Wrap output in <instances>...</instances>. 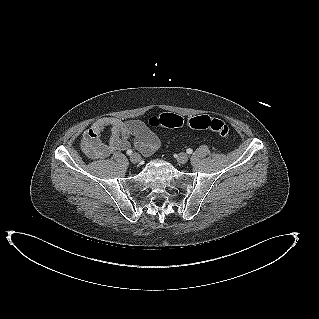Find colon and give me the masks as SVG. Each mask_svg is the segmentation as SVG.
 <instances>
[{
  "mask_svg": "<svg viewBox=\"0 0 319 319\" xmlns=\"http://www.w3.org/2000/svg\"><path fill=\"white\" fill-rule=\"evenodd\" d=\"M148 123L153 128H177L184 124V119L177 114L164 112L151 117ZM187 125L193 129H207L213 131L222 138H228L230 136L229 126L223 120L208 115L192 117L188 119Z\"/></svg>",
  "mask_w": 319,
  "mask_h": 319,
  "instance_id": "obj_1",
  "label": "colon"
}]
</instances>
